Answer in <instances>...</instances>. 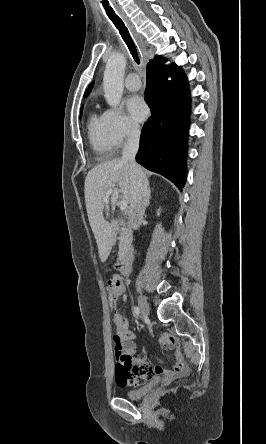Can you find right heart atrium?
<instances>
[{"label": "right heart atrium", "instance_id": "right-heart-atrium-1", "mask_svg": "<svg viewBox=\"0 0 266 444\" xmlns=\"http://www.w3.org/2000/svg\"><path fill=\"white\" fill-rule=\"evenodd\" d=\"M103 116L108 135L115 148L138 136L140 131L138 125L120 108L108 109Z\"/></svg>", "mask_w": 266, "mask_h": 444}]
</instances>
